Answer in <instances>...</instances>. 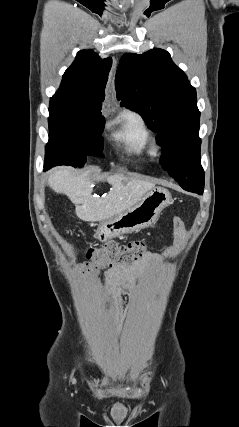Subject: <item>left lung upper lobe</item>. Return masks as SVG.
I'll return each mask as SVG.
<instances>
[{
    "mask_svg": "<svg viewBox=\"0 0 239 427\" xmlns=\"http://www.w3.org/2000/svg\"><path fill=\"white\" fill-rule=\"evenodd\" d=\"M121 106L137 111L157 133L162 167L179 185L204 175L200 164L196 90L162 49L122 56L115 78Z\"/></svg>",
    "mask_w": 239,
    "mask_h": 427,
    "instance_id": "5c2ea615",
    "label": "left lung upper lobe"
}]
</instances>
